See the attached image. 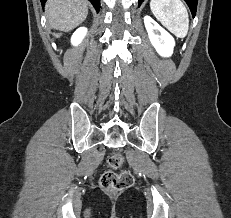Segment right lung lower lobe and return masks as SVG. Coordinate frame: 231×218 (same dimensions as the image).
Here are the masks:
<instances>
[{"label": "right lung lower lobe", "mask_w": 231, "mask_h": 218, "mask_svg": "<svg viewBox=\"0 0 231 218\" xmlns=\"http://www.w3.org/2000/svg\"><path fill=\"white\" fill-rule=\"evenodd\" d=\"M47 0H41V3L42 5H44V3L46 2ZM94 8L96 9L97 12H99V9H100V0H89Z\"/></svg>", "instance_id": "98d812e1"}]
</instances>
